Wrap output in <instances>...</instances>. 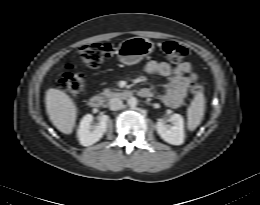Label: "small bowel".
Returning <instances> with one entry per match:
<instances>
[{"label":"small bowel","mask_w":260,"mask_h":205,"mask_svg":"<svg viewBox=\"0 0 260 205\" xmlns=\"http://www.w3.org/2000/svg\"><path fill=\"white\" fill-rule=\"evenodd\" d=\"M145 70L150 75H158L168 79L165 93L161 96L162 102L170 108H178L182 105L192 82L197 79V74L193 71L190 63L183 62L176 67H172L165 61H149ZM141 96L150 97L153 95L148 88L140 91Z\"/></svg>","instance_id":"small-bowel-1"}]
</instances>
